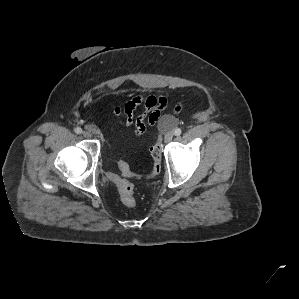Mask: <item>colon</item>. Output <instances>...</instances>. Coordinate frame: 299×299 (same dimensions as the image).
<instances>
[{
	"mask_svg": "<svg viewBox=\"0 0 299 299\" xmlns=\"http://www.w3.org/2000/svg\"><path fill=\"white\" fill-rule=\"evenodd\" d=\"M162 124L166 127H169L173 124V120L171 118H165L162 121ZM150 154L152 158V170L150 175H155L160 170V165L163 157V152L160 144H155L150 149ZM118 168L121 173L110 174L111 181L117 186L121 202L127 207H133L136 203L134 197V187L133 184L127 179L136 177L135 173L131 170L130 165L124 159H121L118 163Z\"/></svg>",
	"mask_w": 299,
	"mask_h": 299,
	"instance_id": "colon-1",
	"label": "colon"
}]
</instances>
